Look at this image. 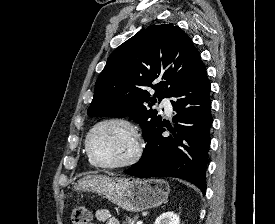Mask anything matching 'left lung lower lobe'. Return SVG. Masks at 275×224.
<instances>
[{
    "label": "left lung lower lobe",
    "mask_w": 275,
    "mask_h": 224,
    "mask_svg": "<svg viewBox=\"0 0 275 224\" xmlns=\"http://www.w3.org/2000/svg\"><path fill=\"white\" fill-rule=\"evenodd\" d=\"M210 83L203 66L187 79L171 97L174 128L161 124L145 138L140 162L125 171L137 177H176L206 190L205 173L212 125ZM165 127L171 132L163 137Z\"/></svg>",
    "instance_id": "obj_1"
}]
</instances>
